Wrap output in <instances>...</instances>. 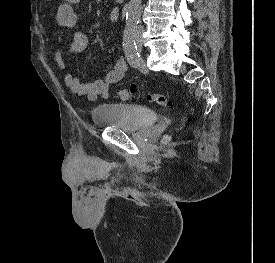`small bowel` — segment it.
<instances>
[{
	"mask_svg": "<svg viewBox=\"0 0 275 263\" xmlns=\"http://www.w3.org/2000/svg\"><path fill=\"white\" fill-rule=\"evenodd\" d=\"M81 0H66L57 10L56 25L59 28V44L64 40V30L71 29L76 25L77 14L74 5ZM120 12L114 8L108 14L110 22H117ZM88 45V37L81 31H76L69 43V51L72 53L82 52ZM54 59L57 66L64 70L66 67L63 49L61 45L56 49ZM127 62L123 58L116 60L113 69L106 73L105 78L97 79L91 83L81 82L72 73L65 75L66 86L75 94L86 96L89 100L94 101L98 97L108 98L110 95L109 87L111 84L120 82L127 73Z\"/></svg>",
	"mask_w": 275,
	"mask_h": 263,
	"instance_id": "obj_1",
	"label": "small bowel"
}]
</instances>
